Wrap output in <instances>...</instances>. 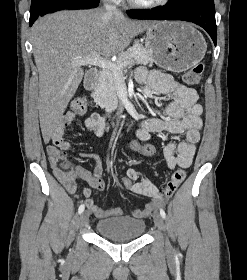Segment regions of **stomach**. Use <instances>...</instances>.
Segmentation results:
<instances>
[{"instance_id":"obj_1","label":"stomach","mask_w":247,"mask_h":280,"mask_svg":"<svg viewBox=\"0 0 247 280\" xmlns=\"http://www.w3.org/2000/svg\"><path fill=\"white\" fill-rule=\"evenodd\" d=\"M146 49L158 66L184 72L203 59L207 44L191 24L158 21L147 30Z\"/></svg>"}]
</instances>
